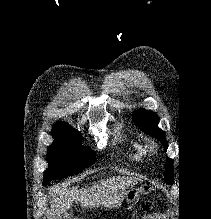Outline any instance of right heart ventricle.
<instances>
[{
  "mask_svg": "<svg viewBox=\"0 0 211 219\" xmlns=\"http://www.w3.org/2000/svg\"><path fill=\"white\" fill-rule=\"evenodd\" d=\"M122 142L128 147V157L135 162H139L144 157V148L138 141L122 136Z\"/></svg>",
  "mask_w": 211,
  "mask_h": 219,
  "instance_id": "right-heart-ventricle-1",
  "label": "right heart ventricle"
}]
</instances>
